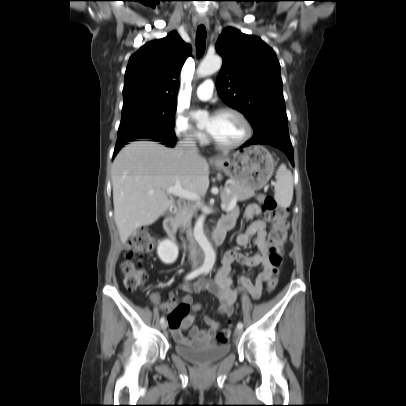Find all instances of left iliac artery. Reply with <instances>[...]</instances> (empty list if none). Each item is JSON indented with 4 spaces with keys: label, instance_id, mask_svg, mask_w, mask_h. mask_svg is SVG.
<instances>
[{
    "label": "left iliac artery",
    "instance_id": "1",
    "mask_svg": "<svg viewBox=\"0 0 406 406\" xmlns=\"http://www.w3.org/2000/svg\"><path fill=\"white\" fill-rule=\"evenodd\" d=\"M209 272V269H207L206 271H205V274H207ZM237 328H243V324L241 323V322H239L238 324H237Z\"/></svg>",
    "mask_w": 406,
    "mask_h": 406
}]
</instances>
